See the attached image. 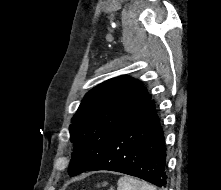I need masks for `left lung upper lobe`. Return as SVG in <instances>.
Returning a JSON list of instances; mask_svg holds the SVG:
<instances>
[{
	"label": "left lung upper lobe",
	"instance_id": "5c2ea615",
	"mask_svg": "<svg viewBox=\"0 0 221 190\" xmlns=\"http://www.w3.org/2000/svg\"><path fill=\"white\" fill-rule=\"evenodd\" d=\"M150 100L141 82L129 76L107 80L90 90L69 127L74 143L69 175L87 171L118 129Z\"/></svg>",
	"mask_w": 221,
	"mask_h": 190
}]
</instances>
